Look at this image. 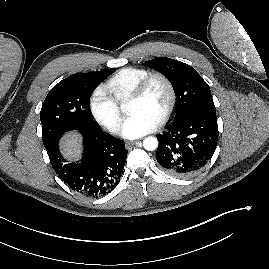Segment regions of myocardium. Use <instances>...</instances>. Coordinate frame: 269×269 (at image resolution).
I'll use <instances>...</instances> for the list:
<instances>
[{"label": "myocardium", "mask_w": 269, "mask_h": 269, "mask_svg": "<svg viewBox=\"0 0 269 269\" xmlns=\"http://www.w3.org/2000/svg\"><path fill=\"white\" fill-rule=\"evenodd\" d=\"M155 80H161L168 90L167 106L157 122V125L161 126L165 124L169 119V117L171 116L177 99L175 86L172 80L167 75L161 72H152L146 75L132 91L129 97V101H136L142 99L145 96L146 92L148 91L152 82Z\"/></svg>", "instance_id": "1"}]
</instances>
